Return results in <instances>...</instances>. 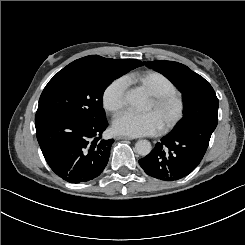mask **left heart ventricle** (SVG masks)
I'll list each match as a JSON object with an SVG mask.
<instances>
[{"instance_id": "obj_1", "label": "left heart ventricle", "mask_w": 245, "mask_h": 245, "mask_svg": "<svg viewBox=\"0 0 245 245\" xmlns=\"http://www.w3.org/2000/svg\"><path fill=\"white\" fill-rule=\"evenodd\" d=\"M147 110H153L154 113L156 114V116L159 118L160 122L162 123L164 121V119L174 110V106L173 105H169L167 107H164L160 110H156L153 108V104L151 99L149 100V105Z\"/></svg>"}]
</instances>
